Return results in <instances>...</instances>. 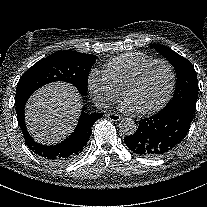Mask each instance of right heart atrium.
Instances as JSON below:
<instances>
[{"label":"right heart atrium","instance_id":"1","mask_svg":"<svg viewBox=\"0 0 207 207\" xmlns=\"http://www.w3.org/2000/svg\"><path fill=\"white\" fill-rule=\"evenodd\" d=\"M87 88L94 102L104 108L110 107L119 97L120 92L109 82L105 74L93 69L87 77Z\"/></svg>","mask_w":207,"mask_h":207}]
</instances>
